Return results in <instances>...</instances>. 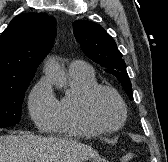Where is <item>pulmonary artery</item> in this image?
<instances>
[{
  "label": "pulmonary artery",
  "instance_id": "obj_1",
  "mask_svg": "<svg viewBox=\"0 0 168 162\" xmlns=\"http://www.w3.org/2000/svg\"><path fill=\"white\" fill-rule=\"evenodd\" d=\"M69 72L72 73H91L93 69L84 61L76 60L69 64Z\"/></svg>",
  "mask_w": 168,
  "mask_h": 162
}]
</instances>
